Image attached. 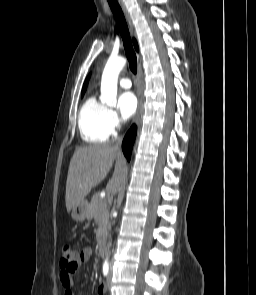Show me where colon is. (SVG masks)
I'll return each mask as SVG.
<instances>
[{
	"mask_svg": "<svg viewBox=\"0 0 256 295\" xmlns=\"http://www.w3.org/2000/svg\"><path fill=\"white\" fill-rule=\"evenodd\" d=\"M79 264V254L71 244L65 243L61 247L60 265L67 270L73 271Z\"/></svg>",
	"mask_w": 256,
	"mask_h": 295,
	"instance_id": "obj_1",
	"label": "colon"
}]
</instances>
